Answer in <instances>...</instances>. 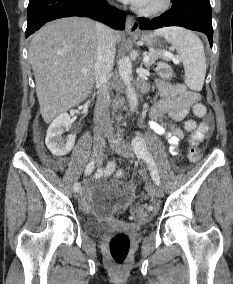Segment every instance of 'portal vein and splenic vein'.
<instances>
[{"label": "portal vein and splenic vein", "mask_w": 233, "mask_h": 284, "mask_svg": "<svg viewBox=\"0 0 233 284\" xmlns=\"http://www.w3.org/2000/svg\"><path fill=\"white\" fill-rule=\"evenodd\" d=\"M167 58H169V59H172L173 61H174V63H176V64H178L179 63V60L178 59H175V58H173L170 54H164ZM167 55H169V57L167 56ZM149 56L148 55H146V54H144V57H143V62L144 63H146V62H148L149 61ZM87 72V70L86 69H82V73H86Z\"/></svg>", "instance_id": "portal-vein-and-splenic-vein-1"}]
</instances>
